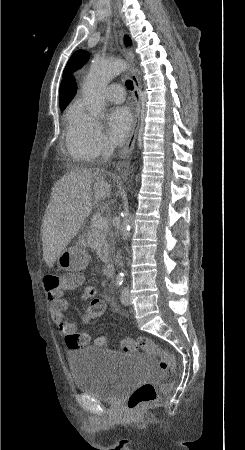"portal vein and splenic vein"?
<instances>
[{"mask_svg": "<svg viewBox=\"0 0 245 450\" xmlns=\"http://www.w3.org/2000/svg\"><path fill=\"white\" fill-rule=\"evenodd\" d=\"M94 225H95L96 228H98L100 230H103V229H106L108 227V221H107V219L105 217H99L95 221Z\"/></svg>", "mask_w": 245, "mask_h": 450, "instance_id": "obj_1", "label": "portal vein and splenic vein"}]
</instances>
